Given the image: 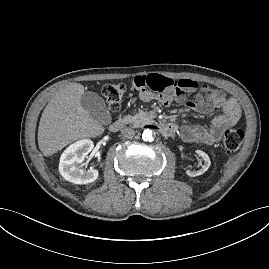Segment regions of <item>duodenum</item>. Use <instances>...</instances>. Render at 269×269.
<instances>
[{"label": "duodenum", "instance_id": "obj_1", "mask_svg": "<svg viewBox=\"0 0 269 269\" xmlns=\"http://www.w3.org/2000/svg\"><path fill=\"white\" fill-rule=\"evenodd\" d=\"M124 123H125L124 118L119 117L110 125L109 129L111 132H118L124 126ZM158 129L163 134L170 135L175 131V126L171 123H166L161 125Z\"/></svg>", "mask_w": 269, "mask_h": 269}]
</instances>
